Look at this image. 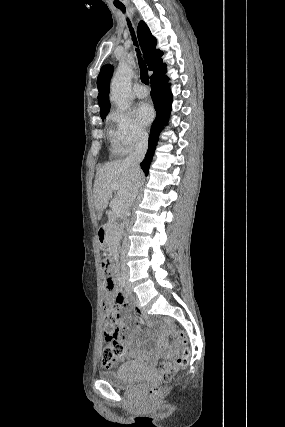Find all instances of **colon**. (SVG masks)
Returning <instances> with one entry per match:
<instances>
[{
  "instance_id": "5ec220e1",
  "label": "colon",
  "mask_w": 285,
  "mask_h": 427,
  "mask_svg": "<svg viewBox=\"0 0 285 427\" xmlns=\"http://www.w3.org/2000/svg\"><path fill=\"white\" fill-rule=\"evenodd\" d=\"M101 270L105 284V310L106 315L104 317V335L106 345L101 354V360L105 367H112L113 364L126 352V347L116 337V313L121 306L119 301L116 284L111 275V262L107 259L102 260ZM170 326H173L172 321H168ZM179 337V336H178ZM177 352V349H173L166 353L167 357L173 356ZM188 349H182L177 355L175 363L172 364L168 361L161 363L162 370L164 372V379L159 386L151 387L148 390L150 397L154 398L158 396L162 391H165L169 386V376L171 371L182 369L186 366L188 361Z\"/></svg>"
}]
</instances>
